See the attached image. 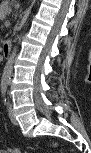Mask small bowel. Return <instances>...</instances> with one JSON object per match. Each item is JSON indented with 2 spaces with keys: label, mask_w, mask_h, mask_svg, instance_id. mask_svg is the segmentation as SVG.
<instances>
[{
  "label": "small bowel",
  "mask_w": 91,
  "mask_h": 153,
  "mask_svg": "<svg viewBox=\"0 0 91 153\" xmlns=\"http://www.w3.org/2000/svg\"><path fill=\"white\" fill-rule=\"evenodd\" d=\"M5 152L16 153L18 152V150L17 149H7L5 150Z\"/></svg>",
  "instance_id": "obj_1"
}]
</instances>
